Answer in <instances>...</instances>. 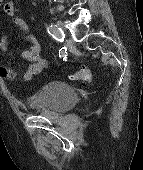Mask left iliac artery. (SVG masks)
Segmentation results:
<instances>
[{"instance_id": "obj_1", "label": "left iliac artery", "mask_w": 143, "mask_h": 170, "mask_svg": "<svg viewBox=\"0 0 143 170\" xmlns=\"http://www.w3.org/2000/svg\"><path fill=\"white\" fill-rule=\"evenodd\" d=\"M47 30L48 33L57 41H64L65 35L63 31L59 27H57V25L51 24Z\"/></svg>"}]
</instances>
